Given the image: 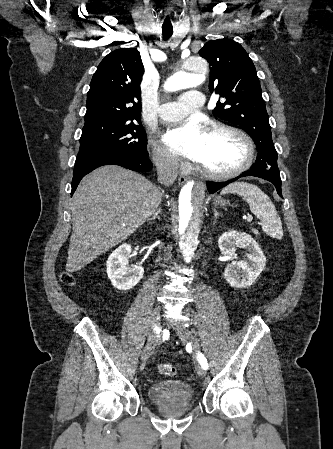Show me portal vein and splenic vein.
Listing matches in <instances>:
<instances>
[{"label": "portal vein and splenic vein", "mask_w": 333, "mask_h": 449, "mask_svg": "<svg viewBox=\"0 0 333 449\" xmlns=\"http://www.w3.org/2000/svg\"><path fill=\"white\" fill-rule=\"evenodd\" d=\"M252 220H253L252 216L249 215V216L247 217V221L251 223Z\"/></svg>", "instance_id": "18ae733b"}]
</instances>
